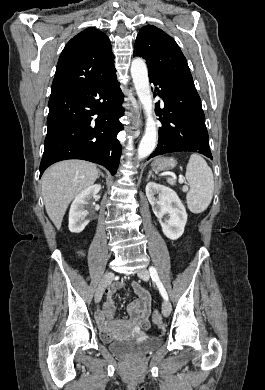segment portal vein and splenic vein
Returning a JSON list of instances; mask_svg holds the SVG:
<instances>
[{
  "mask_svg": "<svg viewBox=\"0 0 265 390\" xmlns=\"http://www.w3.org/2000/svg\"><path fill=\"white\" fill-rule=\"evenodd\" d=\"M184 182H185V180H184L183 176H179V183H184Z\"/></svg>",
  "mask_w": 265,
  "mask_h": 390,
  "instance_id": "obj_1",
  "label": "portal vein and splenic vein"
}]
</instances>
